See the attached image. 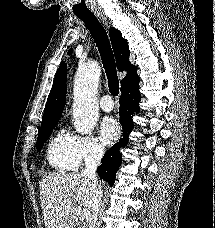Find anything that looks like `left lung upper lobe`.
<instances>
[{
	"label": "left lung upper lobe",
	"instance_id": "1",
	"mask_svg": "<svg viewBox=\"0 0 215 228\" xmlns=\"http://www.w3.org/2000/svg\"><path fill=\"white\" fill-rule=\"evenodd\" d=\"M72 50H73V49H70L69 52H68V54H71V53H72Z\"/></svg>",
	"mask_w": 215,
	"mask_h": 228
}]
</instances>
